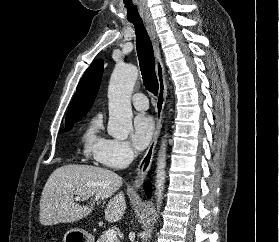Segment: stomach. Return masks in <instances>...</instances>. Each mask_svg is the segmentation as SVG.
<instances>
[{"label":"stomach","mask_w":279,"mask_h":242,"mask_svg":"<svg viewBox=\"0 0 279 242\" xmlns=\"http://www.w3.org/2000/svg\"><path fill=\"white\" fill-rule=\"evenodd\" d=\"M91 236L82 229H70L64 235V242H90Z\"/></svg>","instance_id":"0dacf381"}]
</instances>
